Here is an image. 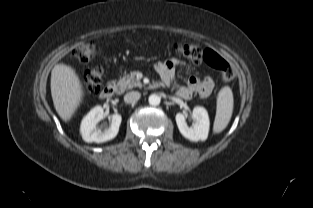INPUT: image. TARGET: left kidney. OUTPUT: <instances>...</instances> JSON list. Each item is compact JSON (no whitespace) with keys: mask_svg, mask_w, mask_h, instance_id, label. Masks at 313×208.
<instances>
[{"mask_svg":"<svg viewBox=\"0 0 313 208\" xmlns=\"http://www.w3.org/2000/svg\"><path fill=\"white\" fill-rule=\"evenodd\" d=\"M192 116L195 123L189 127L186 123L185 116L182 113L176 114V123L180 133L190 141H204L208 137L210 121L208 113L203 107H195Z\"/></svg>","mask_w":313,"mask_h":208,"instance_id":"obj_1","label":"left kidney"}]
</instances>
